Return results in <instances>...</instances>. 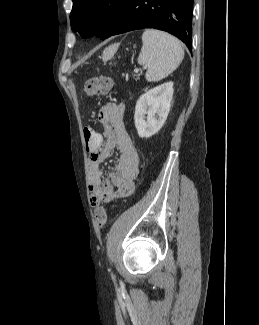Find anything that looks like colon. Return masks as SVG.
Instances as JSON below:
<instances>
[{"label":"colon","mask_w":259,"mask_h":325,"mask_svg":"<svg viewBox=\"0 0 259 325\" xmlns=\"http://www.w3.org/2000/svg\"><path fill=\"white\" fill-rule=\"evenodd\" d=\"M114 87L113 80L107 76H97L88 79L84 85V91L89 97L106 95ZM84 138L87 149H100L101 136L98 130L84 129ZM94 220L97 226L103 227L107 221V213L104 207H98L95 211Z\"/></svg>","instance_id":"5ec220e1"}]
</instances>
